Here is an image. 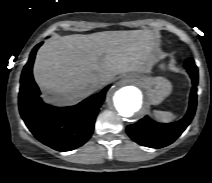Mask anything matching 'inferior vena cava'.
I'll list each match as a JSON object with an SVG mask.
<instances>
[{
    "label": "inferior vena cava",
    "instance_id": "1",
    "mask_svg": "<svg viewBox=\"0 0 212 183\" xmlns=\"http://www.w3.org/2000/svg\"><path fill=\"white\" fill-rule=\"evenodd\" d=\"M107 84H108V80L100 78L95 80L93 86L95 89H100L106 86Z\"/></svg>",
    "mask_w": 212,
    "mask_h": 183
}]
</instances>
